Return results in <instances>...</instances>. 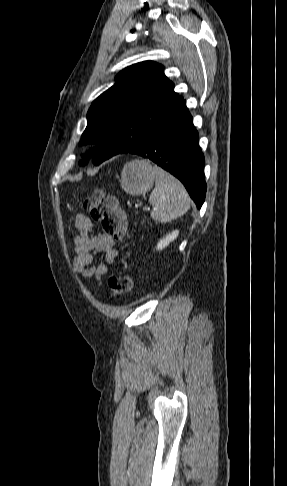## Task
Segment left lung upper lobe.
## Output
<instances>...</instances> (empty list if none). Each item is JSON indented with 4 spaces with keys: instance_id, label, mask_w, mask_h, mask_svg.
Returning a JSON list of instances; mask_svg holds the SVG:
<instances>
[{
    "instance_id": "1",
    "label": "left lung upper lobe",
    "mask_w": 287,
    "mask_h": 486,
    "mask_svg": "<svg viewBox=\"0 0 287 486\" xmlns=\"http://www.w3.org/2000/svg\"><path fill=\"white\" fill-rule=\"evenodd\" d=\"M115 79L92 103L80 140L101 145L94 149L95 165L138 147L183 99L174 92L163 66L153 61L131 65Z\"/></svg>"
}]
</instances>
